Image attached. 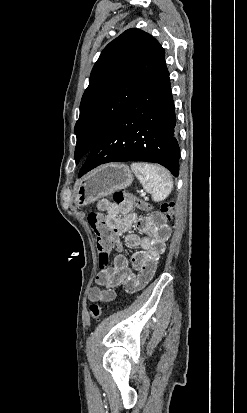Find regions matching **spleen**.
Segmentation results:
<instances>
[{
	"instance_id": "1",
	"label": "spleen",
	"mask_w": 247,
	"mask_h": 413,
	"mask_svg": "<svg viewBox=\"0 0 247 413\" xmlns=\"http://www.w3.org/2000/svg\"><path fill=\"white\" fill-rule=\"evenodd\" d=\"M143 164L144 162H132L131 168L138 180L142 182L146 192H151L153 200H164L173 188L170 172L163 166L149 170V168H144Z\"/></svg>"
}]
</instances>
